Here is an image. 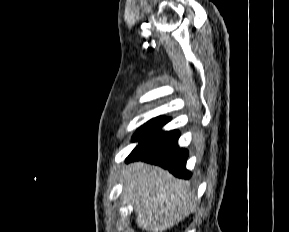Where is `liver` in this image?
Wrapping results in <instances>:
<instances>
[{
  "instance_id": "6515ba94",
  "label": "liver",
  "mask_w": 289,
  "mask_h": 232,
  "mask_svg": "<svg viewBox=\"0 0 289 232\" xmlns=\"http://www.w3.org/2000/svg\"><path fill=\"white\" fill-rule=\"evenodd\" d=\"M123 197L134 206L136 223L146 232L171 229L196 205L189 183L161 167L133 162L122 173Z\"/></svg>"
}]
</instances>
